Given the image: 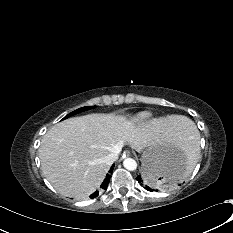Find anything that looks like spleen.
I'll return each instance as SVG.
<instances>
[{"mask_svg":"<svg viewBox=\"0 0 233 233\" xmlns=\"http://www.w3.org/2000/svg\"><path fill=\"white\" fill-rule=\"evenodd\" d=\"M171 148H177L183 154V160L186 162L185 169L188 168V163H195L199 160L197 129L189 119H184V126L178 132V141ZM183 175L179 177V181H181Z\"/></svg>","mask_w":233,"mask_h":233,"instance_id":"3e777b00","label":"spleen"}]
</instances>
